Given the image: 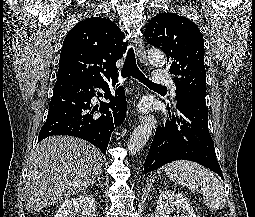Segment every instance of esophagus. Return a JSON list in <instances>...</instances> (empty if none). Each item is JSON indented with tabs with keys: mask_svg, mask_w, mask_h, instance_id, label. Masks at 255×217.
<instances>
[{
	"mask_svg": "<svg viewBox=\"0 0 255 217\" xmlns=\"http://www.w3.org/2000/svg\"><path fill=\"white\" fill-rule=\"evenodd\" d=\"M134 47L136 49V52L141 64H143L144 66H147L148 60L146 55V49L141 38L137 37L134 39ZM139 120L142 123L151 122L154 127L156 125V119L152 115H140Z\"/></svg>",
	"mask_w": 255,
	"mask_h": 217,
	"instance_id": "esophagus-1",
	"label": "esophagus"
}]
</instances>
